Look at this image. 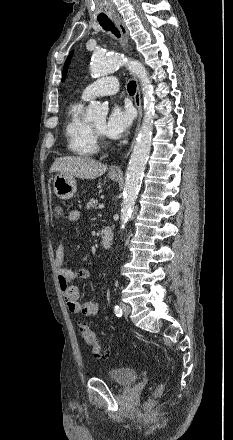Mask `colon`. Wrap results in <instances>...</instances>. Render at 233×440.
<instances>
[{
	"label": "colon",
	"mask_w": 233,
	"mask_h": 440,
	"mask_svg": "<svg viewBox=\"0 0 233 440\" xmlns=\"http://www.w3.org/2000/svg\"><path fill=\"white\" fill-rule=\"evenodd\" d=\"M54 215L56 217H61L63 215V208L61 205L57 204L54 206ZM79 330L83 336L84 341L92 347L93 353L97 358L106 359L109 357L110 352L100 344L96 337V334L86 322L81 321L79 323ZM162 392L163 385L159 383L154 388L149 406H151L160 397Z\"/></svg>",
	"instance_id": "obj_1"
}]
</instances>
